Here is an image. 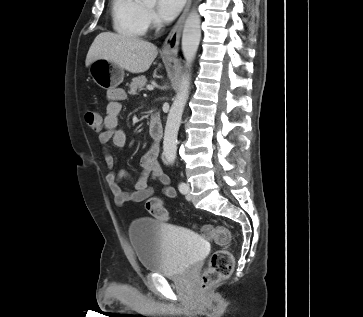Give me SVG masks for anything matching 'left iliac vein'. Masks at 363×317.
Listing matches in <instances>:
<instances>
[{
  "label": "left iliac vein",
  "mask_w": 363,
  "mask_h": 317,
  "mask_svg": "<svg viewBox=\"0 0 363 317\" xmlns=\"http://www.w3.org/2000/svg\"><path fill=\"white\" fill-rule=\"evenodd\" d=\"M186 194H187V199L190 200L191 199V195H190V186L189 184H186Z\"/></svg>",
  "instance_id": "obj_1"
}]
</instances>
